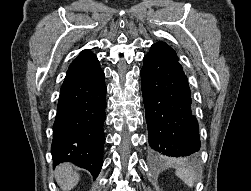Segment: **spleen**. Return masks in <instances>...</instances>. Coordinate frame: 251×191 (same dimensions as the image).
Instances as JSON below:
<instances>
[{"mask_svg": "<svg viewBox=\"0 0 251 191\" xmlns=\"http://www.w3.org/2000/svg\"><path fill=\"white\" fill-rule=\"evenodd\" d=\"M176 175L180 177V179H183L189 187H193L194 181H195V171L193 169H188V167H179L176 171Z\"/></svg>", "mask_w": 251, "mask_h": 191, "instance_id": "3e777b00", "label": "spleen"}]
</instances>
